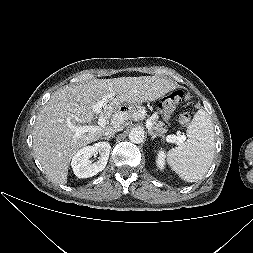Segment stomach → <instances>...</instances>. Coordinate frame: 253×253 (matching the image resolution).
Instances as JSON below:
<instances>
[{
	"instance_id": "1",
	"label": "stomach",
	"mask_w": 253,
	"mask_h": 253,
	"mask_svg": "<svg viewBox=\"0 0 253 253\" xmlns=\"http://www.w3.org/2000/svg\"><path fill=\"white\" fill-rule=\"evenodd\" d=\"M169 102V97L168 95L162 96L161 100H156L155 101V108L158 113H166L167 111V103ZM144 110L146 108V103L144 101H138V100H133L131 103L130 102H124L120 105L119 107V112L121 114H126L127 112H130L132 110Z\"/></svg>"
}]
</instances>
